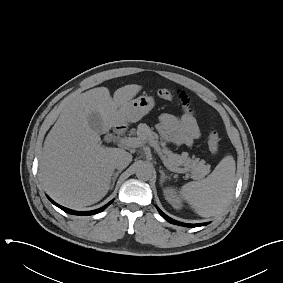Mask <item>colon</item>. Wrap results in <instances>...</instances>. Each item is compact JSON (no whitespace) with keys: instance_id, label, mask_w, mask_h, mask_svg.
<instances>
[{"instance_id":"1","label":"colon","mask_w":283,"mask_h":283,"mask_svg":"<svg viewBox=\"0 0 283 283\" xmlns=\"http://www.w3.org/2000/svg\"><path fill=\"white\" fill-rule=\"evenodd\" d=\"M157 94L161 99L171 100L175 96L176 91L172 89L162 88L158 90ZM207 143L209 150L211 151L212 154H217L219 152L220 137L216 131L209 132L207 137Z\"/></svg>"}]
</instances>
